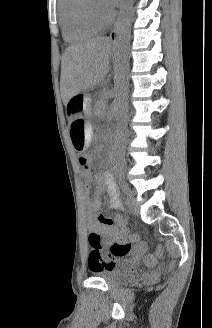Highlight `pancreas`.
Returning a JSON list of instances; mask_svg holds the SVG:
<instances>
[{"label": "pancreas", "instance_id": "1", "mask_svg": "<svg viewBox=\"0 0 212 328\" xmlns=\"http://www.w3.org/2000/svg\"><path fill=\"white\" fill-rule=\"evenodd\" d=\"M97 107L101 110H104L106 107V102L103 99H101L100 101L97 102Z\"/></svg>", "mask_w": 212, "mask_h": 328}]
</instances>
